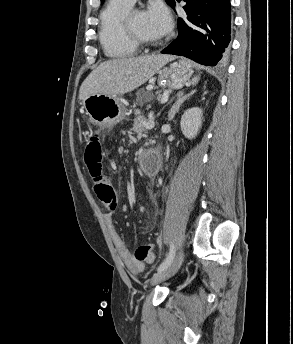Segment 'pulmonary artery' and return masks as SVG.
<instances>
[{"instance_id":"obj_1","label":"pulmonary artery","mask_w":293,"mask_h":344,"mask_svg":"<svg viewBox=\"0 0 293 344\" xmlns=\"http://www.w3.org/2000/svg\"><path fill=\"white\" fill-rule=\"evenodd\" d=\"M115 1L127 3L130 5H133L136 2V0H115Z\"/></svg>"}]
</instances>
